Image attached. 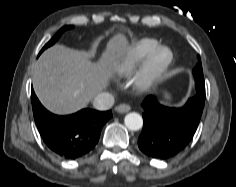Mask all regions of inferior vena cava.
I'll use <instances>...</instances> for the list:
<instances>
[{
  "instance_id": "1",
  "label": "inferior vena cava",
  "mask_w": 236,
  "mask_h": 187,
  "mask_svg": "<svg viewBox=\"0 0 236 187\" xmlns=\"http://www.w3.org/2000/svg\"><path fill=\"white\" fill-rule=\"evenodd\" d=\"M114 104V97L108 92L99 93L93 100L95 109L104 111L109 110Z\"/></svg>"
}]
</instances>
